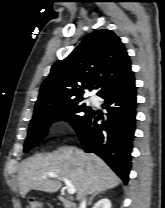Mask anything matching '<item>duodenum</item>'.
<instances>
[{
  "label": "duodenum",
  "instance_id": "1",
  "mask_svg": "<svg viewBox=\"0 0 165 208\" xmlns=\"http://www.w3.org/2000/svg\"><path fill=\"white\" fill-rule=\"evenodd\" d=\"M59 200H60V202H61V204H62V206L64 207V208H77L74 204H73V202H71L67 197H65V196H59Z\"/></svg>",
  "mask_w": 165,
  "mask_h": 208
}]
</instances>
